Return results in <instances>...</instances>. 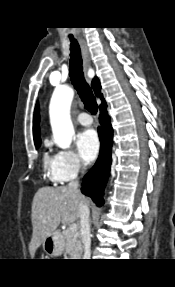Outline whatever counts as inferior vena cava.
<instances>
[{
  "instance_id": "inferior-vena-cava-1",
  "label": "inferior vena cava",
  "mask_w": 175,
  "mask_h": 287,
  "mask_svg": "<svg viewBox=\"0 0 175 287\" xmlns=\"http://www.w3.org/2000/svg\"><path fill=\"white\" fill-rule=\"evenodd\" d=\"M80 184L78 180H73L68 183V189L78 191ZM89 208L87 204L80 201L79 203V217H80V235L84 245L83 259H90V225H89Z\"/></svg>"
}]
</instances>
